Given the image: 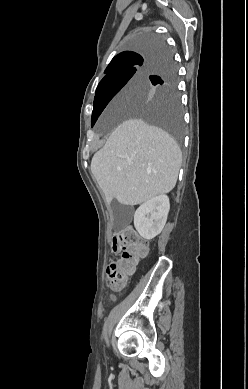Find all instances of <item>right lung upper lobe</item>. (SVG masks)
Instances as JSON below:
<instances>
[{
  "label": "right lung upper lobe",
  "mask_w": 248,
  "mask_h": 389,
  "mask_svg": "<svg viewBox=\"0 0 248 389\" xmlns=\"http://www.w3.org/2000/svg\"><path fill=\"white\" fill-rule=\"evenodd\" d=\"M161 48L162 47L153 48L145 53H142V55L129 51L122 52L112 59L104 73H110L117 69L128 67L134 64H140L142 67H147L150 64L157 65L158 60L161 57V55H158L157 53Z\"/></svg>",
  "instance_id": "obj_1"
}]
</instances>
